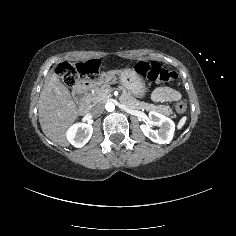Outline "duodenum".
I'll use <instances>...</instances> for the list:
<instances>
[{"instance_id": "1", "label": "duodenum", "mask_w": 236, "mask_h": 236, "mask_svg": "<svg viewBox=\"0 0 236 236\" xmlns=\"http://www.w3.org/2000/svg\"><path fill=\"white\" fill-rule=\"evenodd\" d=\"M96 82V79L85 78L77 83L74 88L73 94L77 103V111L79 114H86L88 111V103L85 95L89 88Z\"/></svg>"}]
</instances>
